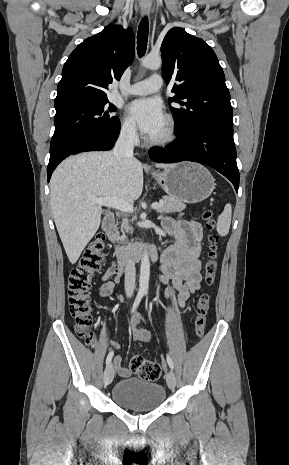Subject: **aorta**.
Here are the masks:
<instances>
[{
  "instance_id": "obj_1",
  "label": "aorta",
  "mask_w": 289,
  "mask_h": 465,
  "mask_svg": "<svg viewBox=\"0 0 289 465\" xmlns=\"http://www.w3.org/2000/svg\"><path fill=\"white\" fill-rule=\"evenodd\" d=\"M162 65V60L159 55H147L142 59V66L148 69H159ZM150 276V261L146 251H144L141 266H140V278H139V290L147 291L149 286Z\"/></svg>"
}]
</instances>
